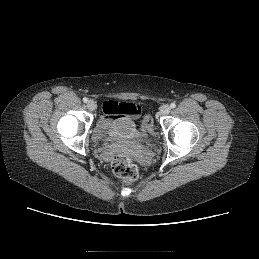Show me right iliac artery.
I'll use <instances>...</instances> for the list:
<instances>
[{
  "mask_svg": "<svg viewBox=\"0 0 259 259\" xmlns=\"http://www.w3.org/2000/svg\"><path fill=\"white\" fill-rule=\"evenodd\" d=\"M88 99L86 97L83 98V102L87 103Z\"/></svg>",
  "mask_w": 259,
  "mask_h": 259,
  "instance_id": "obj_1",
  "label": "right iliac artery"
}]
</instances>
